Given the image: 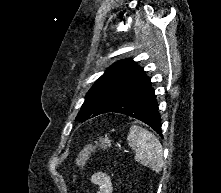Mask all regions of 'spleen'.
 Instances as JSON below:
<instances>
[{
	"label": "spleen",
	"mask_w": 221,
	"mask_h": 193,
	"mask_svg": "<svg viewBox=\"0 0 221 193\" xmlns=\"http://www.w3.org/2000/svg\"><path fill=\"white\" fill-rule=\"evenodd\" d=\"M128 144L135 150V159L155 172L163 168V148L158 138L147 129L132 126L127 136Z\"/></svg>",
	"instance_id": "obj_1"
}]
</instances>
